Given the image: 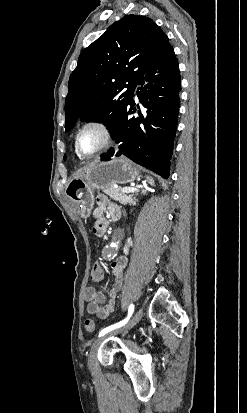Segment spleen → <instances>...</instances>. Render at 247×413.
I'll use <instances>...</instances> for the list:
<instances>
[{
    "label": "spleen",
    "mask_w": 247,
    "mask_h": 413,
    "mask_svg": "<svg viewBox=\"0 0 247 413\" xmlns=\"http://www.w3.org/2000/svg\"><path fill=\"white\" fill-rule=\"evenodd\" d=\"M147 178H148L150 184H153V182H154L153 178H150V176H147Z\"/></svg>",
    "instance_id": "spleen-1"
}]
</instances>
